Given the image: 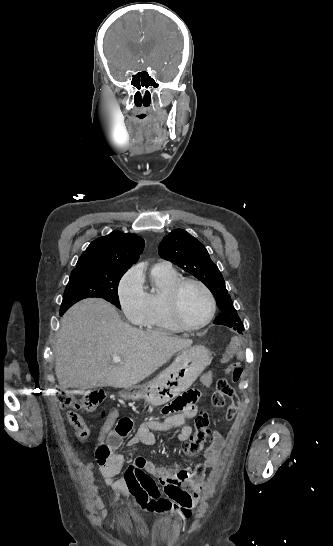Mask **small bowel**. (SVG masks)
Returning <instances> with one entry per match:
<instances>
[{
    "label": "small bowel",
    "instance_id": "small-bowel-1",
    "mask_svg": "<svg viewBox=\"0 0 333 546\" xmlns=\"http://www.w3.org/2000/svg\"><path fill=\"white\" fill-rule=\"evenodd\" d=\"M236 345L227 346L224 354L220 356L222 365H229L235 360ZM202 385H209L210 377L213 376L211 368H206L202 373ZM236 403L229 404L226 408L227 416L225 421H230V417L236 416ZM195 408L186 406L182 408H174L170 405L166 406L164 413L170 414L164 421L147 419L143 421L132 437L128 440L127 445H135L139 442L153 445L156 443V437L153 431H171L175 428H180L178 439L181 442L187 441L192 434V427L188 420L195 415ZM172 413V414H171ZM119 412L113 410L105 422V425L98 437L97 443L106 441L111 444L110 455L103 459L88 462L86 464V472L89 479L92 481V470L95 466L99 467V471L108 486L112 501L116 502L122 498L132 495L137 504L144 510L157 513H174L184 519L190 518L192 509L195 508L203 493L207 481L206 470L218 465L221 453L224 448V438L218 431H213L211 441L205 449L202 462L193 470L184 468L178 464L172 466H159L143 457L137 458L124 470V458L117 453L123 439L132 429V422L128 418H123L122 422L129 426V431L126 434H119L113 428ZM78 439L86 443L89 437V432L86 435L76 434ZM124 470V477L116 479ZM94 491L96 488L92 486ZM165 495L167 499L161 497ZM96 509L98 518L104 520L106 510L101 499L95 497Z\"/></svg>",
    "mask_w": 333,
    "mask_h": 546
}]
</instances>
